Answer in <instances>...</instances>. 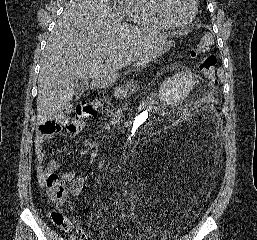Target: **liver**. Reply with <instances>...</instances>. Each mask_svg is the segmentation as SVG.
<instances>
[{"label":"liver","mask_w":257,"mask_h":240,"mask_svg":"<svg viewBox=\"0 0 257 240\" xmlns=\"http://www.w3.org/2000/svg\"><path fill=\"white\" fill-rule=\"evenodd\" d=\"M166 37L122 23L105 0H71L57 20L40 62L38 121L54 118L68 105L77 78L102 77L113 82L119 70Z\"/></svg>","instance_id":"liver-1"}]
</instances>
